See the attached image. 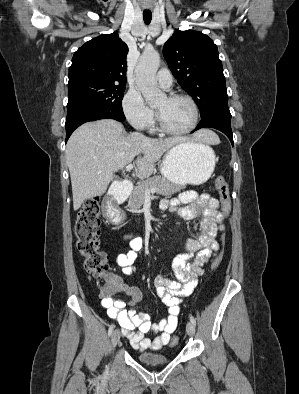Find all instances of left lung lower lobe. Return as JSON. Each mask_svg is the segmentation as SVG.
Listing matches in <instances>:
<instances>
[{"mask_svg":"<svg viewBox=\"0 0 299 394\" xmlns=\"http://www.w3.org/2000/svg\"><path fill=\"white\" fill-rule=\"evenodd\" d=\"M201 118L202 119L200 123L192 132L200 128H215L227 135L231 141V144H234L231 130V114L228 106L215 108L210 113Z\"/></svg>","mask_w":299,"mask_h":394,"instance_id":"1","label":"left lung lower lobe"}]
</instances>
